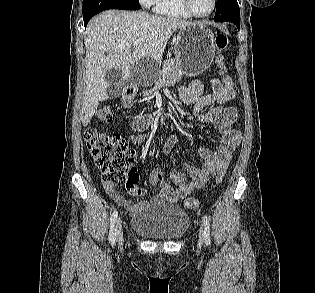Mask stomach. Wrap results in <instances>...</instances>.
Listing matches in <instances>:
<instances>
[{"label":"stomach","instance_id":"obj_1","mask_svg":"<svg viewBox=\"0 0 315 293\" xmlns=\"http://www.w3.org/2000/svg\"><path fill=\"white\" fill-rule=\"evenodd\" d=\"M175 58L180 60L183 73L186 76H197L211 65L215 56V40L212 31L202 23H193L182 29L175 38ZM140 96H121V103L128 109L135 103H140Z\"/></svg>","mask_w":315,"mask_h":293}]
</instances>
